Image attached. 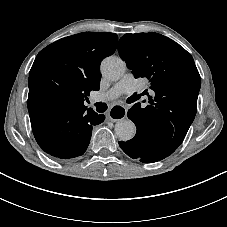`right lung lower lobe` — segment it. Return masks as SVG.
<instances>
[{
  "label": "right lung lower lobe",
  "instance_id": "98d812e1",
  "mask_svg": "<svg viewBox=\"0 0 227 227\" xmlns=\"http://www.w3.org/2000/svg\"><path fill=\"white\" fill-rule=\"evenodd\" d=\"M104 119L91 108L59 109L49 100H41L30 114L37 143L59 159L82 155L90 142L92 127Z\"/></svg>",
  "mask_w": 227,
  "mask_h": 227
}]
</instances>
